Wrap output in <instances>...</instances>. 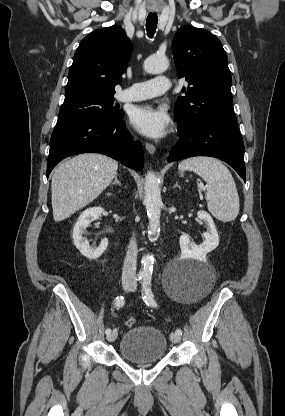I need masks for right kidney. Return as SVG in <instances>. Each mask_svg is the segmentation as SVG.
Returning a JSON list of instances; mask_svg holds the SVG:
<instances>
[{
  "instance_id": "1",
  "label": "right kidney",
  "mask_w": 285,
  "mask_h": 416,
  "mask_svg": "<svg viewBox=\"0 0 285 416\" xmlns=\"http://www.w3.org/2000/svg\"><path fill=\"white\" fill-rule=\"evenodd\" d=\"M102 212H104L103 208H88V210H85V212L80 214L73 228L72 238L74 246H76L77 250L81 252L82 256H85V258H88V260H97V258H100L108 246L107 238L102 240L98 248L97 246H89L87 238H83V234L86 228L90 226L91 222L98 220Z\"/></svg>"
}]
</instances>
